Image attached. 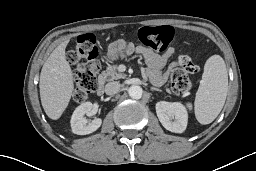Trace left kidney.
I'll list each match as a JSON object with an SVG mask.
<instances>
[{"mask_svg": "<svg viewBox=\"0 0 256 171\" xmlns=\"http://www.w3.org/2000/svg\"><path fill=\"white\" fill-rule=\"evenodd\" d=\"M156 113L165 129L175 133L185 131L188 122V114L186 108L181 103L158 102L156 104Z\"/></svg>", "mask_w": 256, "mask_h": 171, "instance_id": "1", "label": "left kidney"}]
</instances>
